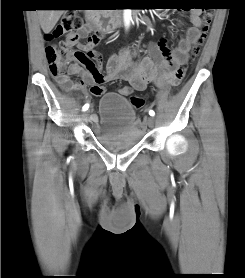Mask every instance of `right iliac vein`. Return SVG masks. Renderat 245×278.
<instances>
[{
    "label": "right iliac vein",
    "instance_id": "63e3f726",
    "mask_svg": "<svg viewBox=\"0 0 245 278\" xmlns=\"http://www.w3.org/2000/svg\"><path fill=\"white\" fill-rule=\"evenodd\" d=\"M90 116V111H86L84 114H83V118L86 120L88 119Z\"/></svg>",
    "mask_w": 245,
    "mask_h": 278
}]
</instances>
